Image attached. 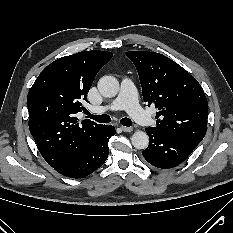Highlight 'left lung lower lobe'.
<instances>
[{
    "mask_svg": "<svg viewBox=\"0 0 233 233\" xmlns=\"http://www.w3.org/2000/svg\"><path fill=\"white\" fill-rule=\"evenodd\" d=\"M150 143L142 151L143 157L151 165L167 169L181 164L196 148L198 143L187 138L146 128Z\"/></svg>",
    "mask_w": 233,
    "mask_h": 233,
    "instance_id": "obj_1",
    "label": "left lung lower lobe"
}]
</instances>
